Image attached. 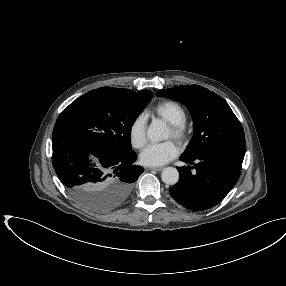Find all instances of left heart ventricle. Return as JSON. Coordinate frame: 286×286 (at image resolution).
<instances>
[{
    "mask_svg": "<svg viewBox=\"0 0 286 286\" xmlns=\"http://www.w3.org/2000/svg\"><path fill=\"white\" fill-rule=\"evenodd\" d=\"M172 136V132H171V130L169 129V131H168V137H171Z\"/></svg>",
    "mask_w": 286,
    "mask_h": 286,
    "instance_id": "obj_1",
    "label": "left heart ventricle"
}]
</instances>
